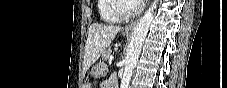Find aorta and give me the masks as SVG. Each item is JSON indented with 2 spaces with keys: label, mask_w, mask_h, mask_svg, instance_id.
Here are the masks:
<instances>
[{
  "label": "aorta",
  "mask_w": 227,
  "mask_h": 88,
  "mask_svg": "<svg viewBox=\"0 0 227 88\" xmlns=\"http://www.w3.org/2000/svg\"><path fill=\"white\" fill-rule=\"evenodd\" d=\"M157 4L158 0H154L152 2L151 6L141 17L133 31L125 58V69L120 84L121 88L129 87L133 70L137 64L143 42L153 21L154 11L157 8Z\"/></svg>",
  "instance_id": "1"
}]
</instances>
